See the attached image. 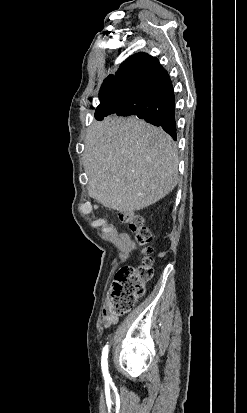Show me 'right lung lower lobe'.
Wrapping results in <instances>:
<instances>
[{
	"label": "right lung lower lobe",
	"mask_w": 247,
	"mask_h": 413,
	"mask_svg": "<svg viewBox=\"0 0 247 413\" xmlns=\"http://www.w3.org/2000/svg\"><path fill=\"white\" fill-rule=\"evenodd\" d=\"M136 90V97H111L101 101L95 111V118L103 120L110 114L118 116L136 115L156 126H161L176 140L175 97L168 73L162 68L158 71H141L128 79Z\"/></svg>",
	"instance_id": "98d812e1"
}]
</instances>
